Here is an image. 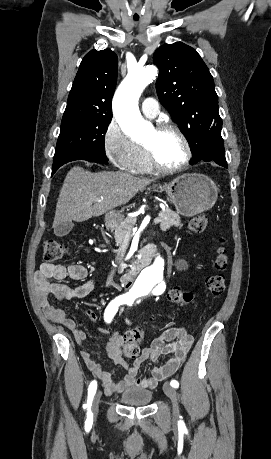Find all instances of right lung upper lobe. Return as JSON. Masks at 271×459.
<instances>
[{
    "instance_id": "obj_1",
    "label": "right lung upper lobe",
    "mask_w": 271,
    "mask_h": 459,
    "mask_svg": "<svg viewBox=\"0 0 271 459\" xmlns=\"http://www.w3.org/2000/svg\"><path fill=\"white\" fill-rule=\"evenodd\" d=\"M117 70L118 59L112 50H91L80 64L64 114L112 115Z\"/></svg>"
}]
</instances>
